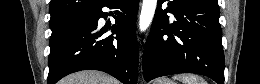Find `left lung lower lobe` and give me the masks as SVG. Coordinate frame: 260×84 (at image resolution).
Listing matches in <instances>:
<instances>
[{
	"mask_svg": "<svg viewBox=\"0 0 260 84\" xmlns=\"http://www.w3.org/2000/svg\"><path fill=\"white\" fill-rule=\"evenodd\" d=\"M159 0L143 54L146 81L177 73H197L224 84V53L217 0ZM175 21L169 22L166 13Z\"/></svg>",
	"mask_w": 260,
	"mask_h": 84,
	"instance_id": "1",
	"label": "left lung lower lobe"
}]
</instances>
